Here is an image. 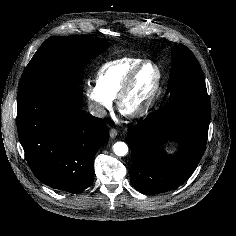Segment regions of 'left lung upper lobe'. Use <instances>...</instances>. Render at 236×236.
Returning <instances> with one entry per match:
<instances>
[{"label":"left lung upper lobe","mask_w":236,"mask_h":236,"mask_svg":"<svg viewBox=\"0 0 236 236\" xmlns=\"http://www.w3.org/2000/svg\"><path fill=\"white\" fill-rule=\"evenodd\" d=\"M167 91L173 96L207 92L201 67L194 54L179 44L172 51V66Z\"/></svg>","instance_id":"obj_1"}]
</instances>
